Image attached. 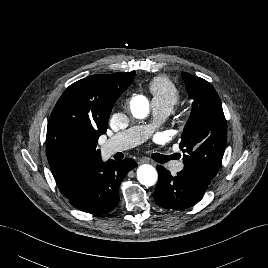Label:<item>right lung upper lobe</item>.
I'll list each match as a JSON object with an SVG mask.
<instances>
[{
	"label": "right lung upper lobe",
	"instance_id": "right-lung-upper-lobe-1",
	"mask_svg": "<svg viewBox=\"0 0 268 268\" xmlns=\"http://www.w3.org/2000/svg\"><path fill=\"white\" fill-rule=\"evenodd\" d=\"M135 72L97 74L70 85L56 103L47 127L46 145L59 135H68L97 144L108 127L111 110L131 85ZM96 149L91 159L72 169L50 165L56 183L67 198L79 188L91 168L101 162Z\"/></svg>",
	"mask_w": 268,
	"mask_h": 268
}]
</instances>
